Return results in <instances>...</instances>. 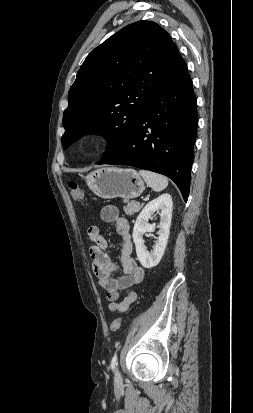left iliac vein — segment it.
<instances>
[{"mask_svg":"<svg viewBox=\"0 0 253 413\" xmlns=\"http://www.w3.org/2000/svg\"><path fill=\"white\" fill-rule=\"evenodd\" d=\"M120 377H121V375H120L119 371L116 369V371H115V379H116V380H119Z\"/></svg>","mask_w":253,"mask_h":413,"instance_id":"4c4485c4","label":"left iliac vein"}]
</instances>
